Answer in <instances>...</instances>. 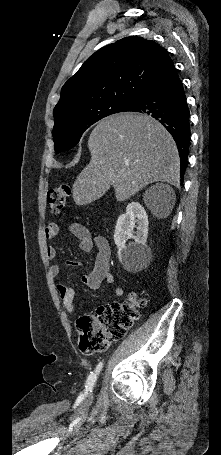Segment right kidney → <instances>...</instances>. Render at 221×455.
<instances>
[{"mask_svg":"<svg viewBox=\"0 0 221 455\" xmlns=\"http://www.w3.org/2000/svg\"><path fill=\"white\" fill-rule=\"evenodd\" d=\"M148 216L138 202L127 205L126 213L119 216L114 233V242L118 248V257L123 267L130 271L147 263L151 256L146 245L148 235ZM136 228V232H134ZM128 239H133L126 245Z\"/></svg>","mask_w":221,"mask_h":455,"instance_id":"ca27d5eb","label":"right kidney"}]
</instances>
